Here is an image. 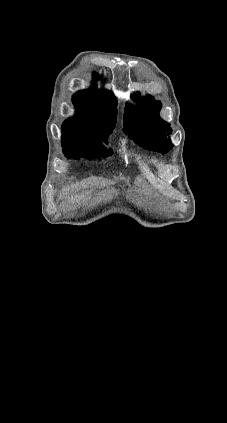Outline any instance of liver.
Masks as SVG:
<instances>
[{
  "instance_id": "liver-1",
  "label": "liver",
  "mask_w": 227,
  "mask_h": 423,
  "mask_svg": "<svg viewBox=\"0 0 227 423\" xmlns=\"http://www.w3.org/2000/svg\"><path fill=\"white\" fill-rule=\"evenodd\" d=\"M88 196H91L90 190L89 192H84V194H75L73 198H68V200L69 202H71V204H74V206H76V204H79L80 200H82V202H87V200H90Z\"/></svg>"
}]
</instances>
